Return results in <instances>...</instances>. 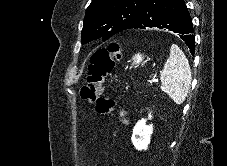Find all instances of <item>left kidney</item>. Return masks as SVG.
I'll return each instance as SVG.
<instances>
[{"instance_id":"obj_1","label":"left kidney","mask_w":227,"mask_h":166,"mask_svg":"<svg viewBox=\"0 0 227 166\" xmlns=\"http://www.w3.org/2000/svg\"><path fill=\"white\" fill-rule=\"evenodd\" d=\"M152 115H148V119H151ZM153 133V125H146V119L139 120L133 129L131 141L137 150H146L151 140V134Z\"/></svg>"}]
</instances>
